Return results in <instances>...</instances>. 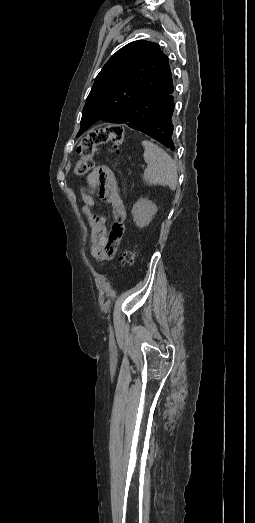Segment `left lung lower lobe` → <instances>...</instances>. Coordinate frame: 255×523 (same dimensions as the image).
I'll return each mask as SVG.
<instances>
[{
    "mask_svg": "<svg viewBox=\"0 0 255 523\" xmlns=\"http://www.w3.org/2000/svg\"><path fill=\"white\" fill-rule=\"evenodd\" d=\"M175 108H178V103L167 106V114H164L160 120L151 121V123L141 127H135V130H142L144 137H154V140H158V145L166 144L167 148L172 150L174 145L173 137L171 136L175 135V128L172 126L171 116L175 114Z\"/></svg>",
    "mask_w": 255,
    "mask_h": 523,
    "instance_id": "1",
    "label": "left lung lower lobe"
}]
</instances>
